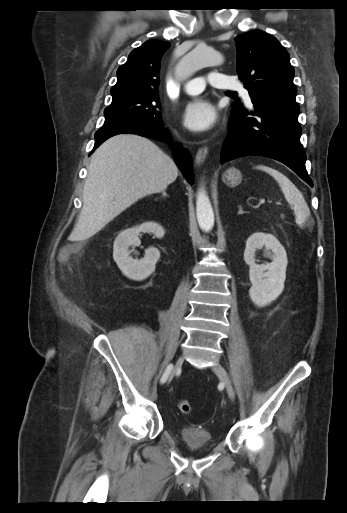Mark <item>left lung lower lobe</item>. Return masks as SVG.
<instances>
[{
  "label": "left lung lower lobe",
  "mask_w": 347,
  "mask_h": 513,
  "mask_svg": "<svg viewBox=\"0 0 347 513\" xmlns=\"http://www.w3.org/2000/svg\"><path fill=\"white\" fill-rule=\"evenodd\" d=\"M251 101L252 111L237 103L232 105L221 163L242 156H265L284 163L313 186L305 167L306 154L300 143L302 130L295 98L257 97Z\"/></svg>",
  "instance_id": "0a47b994"
}]
</instances>
